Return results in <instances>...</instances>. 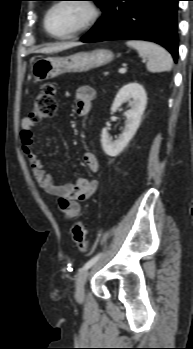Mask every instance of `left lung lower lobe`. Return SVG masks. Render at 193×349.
Listing matches in <instances>:
<instances>
[{
  "instance_id": "0a47b994",
  "label": "left lung lower lobe",
  "mask_w": 193,
  "mask_h": 349,
  "mask_svg": "<svg viewBox=\"0 0 193 349\" xmlns=\"http://www.w3.org/2000/svg\"><path fill=\"white\" fill-rule=\"evenodd\" d=\"M179 0H108L103 16L82 42L137 39L165 47L178 59L177 8Z\"/></svg>"
}]
</instances>
